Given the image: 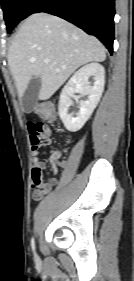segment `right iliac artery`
Returning <instances> with one entry per match:
<instances>
[{
  "instance_id": "right-iliac-artery-1",
  "label": "right iliac artery",
  "mask_w": 134,
  "mask_h": 281,
  "mask_svg": "<svg viewBox=\"0 0 134 281\" xmlns=\"http://www.w3.org/2000/svg\"><path fill=\"white\" fill-rule=\"evenodd\" d=\"M31 247H32L33 252H35V242H34V238H32V240H31Z\"/></svg>"
}]
</instances>
